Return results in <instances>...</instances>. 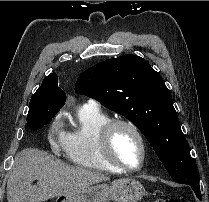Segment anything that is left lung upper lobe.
<instances>
[{"label":"left lung upper lobe","mask_w":209,"mask_h":202,"mask_svg":"<svg viewBox=\"0 0 209 202\" xmlns=\"http://www.w3.org/2000/svg\"><path fill=\"white\" fill-rule=\"evenodd\" d=\"M75 91L134 123L176 182L199 185L171 93L145 59L128 54L100 62L79 76Z\"/></svg>","instance_id":"1"}]
</instances>
